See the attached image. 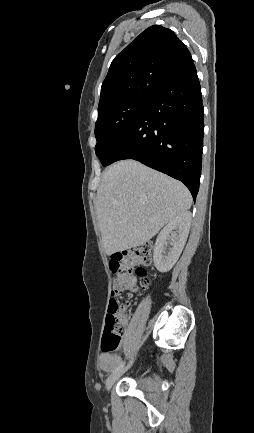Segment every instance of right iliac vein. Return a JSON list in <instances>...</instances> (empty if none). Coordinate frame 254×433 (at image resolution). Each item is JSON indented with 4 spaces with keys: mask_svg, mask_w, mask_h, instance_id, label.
<instances>
[{
    "mask_svg": "<svg viewBox=\"0 0 254 433\" xmlns=\"http://www.w3.org/2000/svg\"><path fill=\"white\" fill-rule=\"evenodd\" d=\"M133 360L127 365L125 368H121L120 370L114 372L106 381V389L109 391L114 383L119 379V377L132 365Z\"/></svg>",
    "mask_w": 254,
    "mask_h": 433,
    "instance_id": "obj_1",
    "label": "right iliac vein"
}]
</instances>
